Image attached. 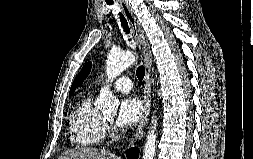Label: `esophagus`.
Returning a JSON list of instances; mask_svg holds the SVG:
<instances>
[{
    "label": "esophagus",
    "mask_w": 253,
    "mask_h": 159,
    "mask_svg": "<svg viewBox=\"0 0 253 159\" xmlns=\"http://www.w3.org/2000/svg\"><path fill=\"white\" fill-rule=\"evenodd\" d=\"M125 17L127 18L136 44L143 56L144 63H145V78H144V111L143 115L141 116V120L137 129L134 131L133 135L128 141V147L133 146L135 142L141 139L144 135V130L147 124L148 116L150 114V107H151V97H152V89H151V67H152V56L149 49L147 42L145 41L144 33L141 28L140 23L138 22L137 18L133 15L132 10L126 0H117Z\"/></svg>",
    "instance_id": "1"
}]
</instances>
